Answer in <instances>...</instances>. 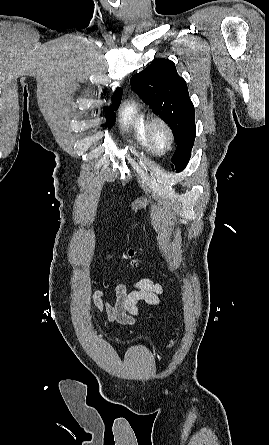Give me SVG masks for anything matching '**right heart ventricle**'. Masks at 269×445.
<instances>
[{
    "label": "right heart ventricle",
    "mask_w": 269,
    "mask_h": 445,
    "mask_svg": "<svg viewBox=\"0 0 269 445\" xmlns=\"http://www.w3.org/2000/svg\"><path fill=\"white\" fill-rule=\"evenodd\" d=\"M147 122L148 114L139 104L134 101L125 104L120 114L122 128L142 149L151 151L146 139Z\"/></svg>",
    "instance_id": "right-heart-ventricle-1"
}]
</instances>
